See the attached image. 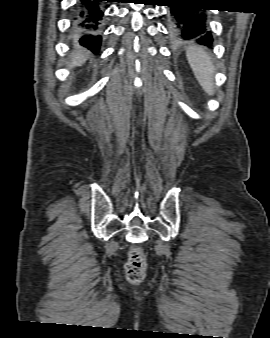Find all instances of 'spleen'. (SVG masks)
<instances>
[{"label": "spleen", "instance_id": "3e777b00", "mask_svg": "<svg viewBox=\"0 0 270 338\" xmlns=\"http://www.w3.org/2000/svg\"><path fill=\"white\" fill-rule=\"evenodd\" d=\"M186 57L201 87L208 95H214L215 66L207 51L202 47L191 46L186 51Z\"/></svg>", "mask_w": 270, "mask_h": 338}]
</instances>
